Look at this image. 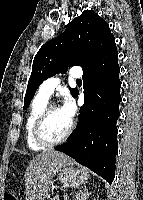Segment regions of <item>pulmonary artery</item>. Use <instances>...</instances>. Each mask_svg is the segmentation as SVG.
I'll use <instances>...</instances> for the list:
<instances>
[{
	"label": "pulmonary artery",
	"mask_w": 143,
	"mask_h": 200,
	"mask_svg": "<svg viewBox=\"0 0 143 200\" xmlns=\"http://www.w3.org/2000/svg\"><path fill=\"white\" fill-rule=\"evenodd\" d=\"M68 75L70 78L79 79L82 76V70L78 67H74L69 71ZM60 82L61 79L59 77L48 78L40 85L39 92L47 98H50Z\"/></svg>",
	"instance_id": "obj_1"
}]
</instances>
